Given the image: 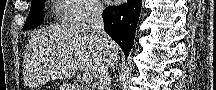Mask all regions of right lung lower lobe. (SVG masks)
<instances>
[{
	"label": "right lung lower lobe",
	"instance_id": "right-lung-lower-lobe-1",
	"mask_svg": "<svg viewBox=\"0 0 216 90\" xmlns=\"http://www.w3.org/2000/svg\"><path fill=\"white\" fill-rule=\"evenodd\" d=\"M141 3V0H128L119 7H108L103 12L105 31L122 48L126 57L134 42Z\"/></svg>",
	"mask_w": 216,
	"mask_h": 90
}]
</instances>
